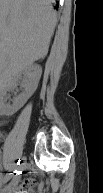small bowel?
<instances>
[{
    "label": "small bowel",
    "mask_w": 103,
    "mask_h": 193,
    "mask_svg": "<svg viewBox=\"0 0 103 193\" xmlns=\"http://www.w3.org/2000/svg\"><path fill=\"white\" fill-rule=\"evenodd\" d=\"M10 177H11V175H10ZM9 179L10 178H8L7 175L2 176V178L0 180L1 185L4 186ZM13 179H14V181H16L17 177L15 176ZM41 188H42V185L39 182H37L34 178H28L23 182V184H21L17 187L9 188V190L12 193H35L37 191H40ZM6 190H8V188Z\"/></svg>",
    "instance_id": "small-bowel-1"
}]
</instances>
